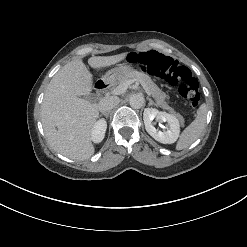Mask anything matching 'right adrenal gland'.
<instances>
[{"label": "right adrenal gland", "mask_w": 247, "mask_h": 247, "mask_svg": "<svg viewBox=\"0 0 247 247\" xmlns=\"http://www.w3.org/2000/svg\"><path fill=\"white\" fill-rule=\"evenodd\" d=\"M101 116H105L106 118H108V116H109V112H107V113H102V115Z\"/></svg>", "instance_id": "obj_1"}]
</instances>
